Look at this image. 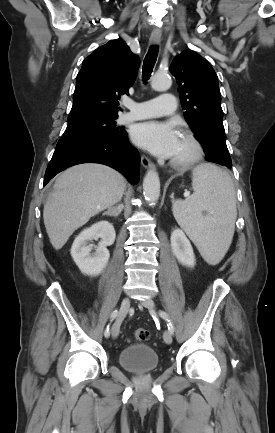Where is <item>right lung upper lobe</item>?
<instances>
[{"label":"right lung upper lobe","mask_w":275,"mask_h":433,"mask_svg":"<svg viewBox=\"0 0 275 433\" xmlns=\"http://www.w3.org/2000/svg\"><path fill=\"white\" fill-rule=\"evenodd\" d=\"M139 57L121 40H111L84 61L76 78L68 118L85 115L118 116L117 100L128 94L139 68Z\"/></svg>","instance_id":"obj_1"}]
</instances>
